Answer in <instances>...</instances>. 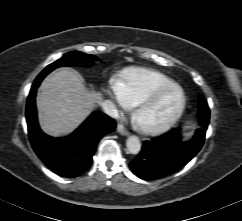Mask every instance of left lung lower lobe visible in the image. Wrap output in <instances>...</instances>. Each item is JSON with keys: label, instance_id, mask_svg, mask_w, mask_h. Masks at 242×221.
I'll list each match as a JSON object with an SVG mask.
<instances>
[{"label": "left lung lower lobe", "instance_id": "left-lung-lower-lobe-1", "mask_svg": "<svg viewBox=\"0 0 242 221\" xmlns=\"http://www.w3.org/2000/svg\"><path fill=\"white\" fill-rule=\"evenodd\" d=\"M208 123L209 116L204 117L189 141H182L180 128L145 141L139 155L130 163L131 171L143 180L157 179L176 172L201 149Z\"/></svg>", "mask_w": 242, "mask_h": 221}]
</instances>
